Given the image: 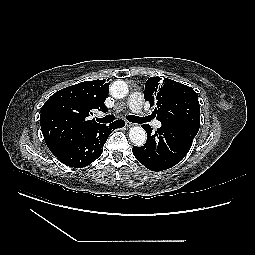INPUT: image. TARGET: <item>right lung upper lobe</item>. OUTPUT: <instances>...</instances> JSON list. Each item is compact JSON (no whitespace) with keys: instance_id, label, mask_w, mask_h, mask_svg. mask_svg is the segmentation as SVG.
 <instances>
[{"instance_id":"obj_1","label":"right lung upper lobe","mask_w":255,"mask_h":255,"mask_svg":"<svg viewBox=\"0 0 255 255\" xmlns=\"http://www.w3.org/2000/svg\"><path fill=\"white\" fill-rule=\"evenodd\" d=\"M109 92L105 80L81 82L54 93L41 108L40 125L45 142L55 154L78 134L101 125L88 120L94 109L107 112Z\"/></svg>"}]
</instances>
